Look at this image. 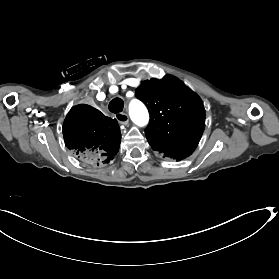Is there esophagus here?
I'll return each instance as SVG.
<instances>
[{
  "mask_svg": "<svg viewBox=\"0 0 279 279\" xmlns=\"http://www.w3.org/2000/svg\"><path fill=\"white\" fill-rule=\"evenodd\" d=\"M115 118L120 124L127 125L129 122V116L123 112L116 113Z\"/></svg>",
  "mask_w": 279,
  "mask_h": 279,
  "instance_id": "34e87169",
  "label": "esophagus"
}]
</instances>
